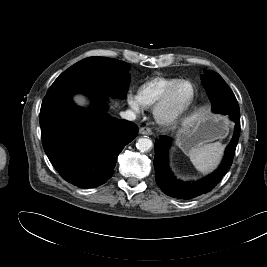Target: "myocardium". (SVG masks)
<instances>
[{"label":"myocardium","mask_w":267,"mask_h":267,"mask_svg":"<svg viewBox=\"0 0 267 267\" xmlns=\"http://www.w3.org/2000/svg\"><path fill=\"white\" fill-rule=\"evenodd\" d=\"M182 84L189 85L191 89L190 96L177 112L172 114H167L165 112V109L169 105L171 97L175 92V90ZM194 97H195V88L190 81L184 79L177 81L176 83L171 85L155 103L153 107V114L156 121L164 126L177 125L182 120L186 111L189 109L190 105L194 100Z\"/></svg>","instance_id":"f54148a6"}]
</instances>
